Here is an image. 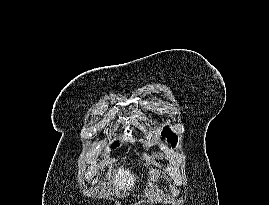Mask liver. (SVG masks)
Segmentation results:
<instances>
[{
	"label": "liver",
	"mask_w": 269,
	"mask_h": 205,
	"mask_svg": "<svg viewBox=\"0 0 269 205\" xmlns=\"http://www.w3.org/2000/svg\"><path fill=\"white\" fill-rule=\"evenodd\" d=\"M114 181L118 185L119 190H124L126 188L130 189L131 187H134L136 178L129 169H124V167L121 166L114 174Z\"/></svg>",
	"instance_id": "obj_1"
}]
</instances>
